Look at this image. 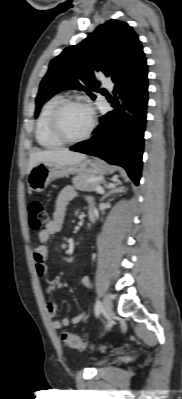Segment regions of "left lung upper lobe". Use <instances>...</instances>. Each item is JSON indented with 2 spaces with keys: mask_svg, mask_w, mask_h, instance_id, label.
Masks as SVG:
<instances>
[{
  "mask_svg": "<svg viewBox=\"0 0 182 399\" xmlns=\"http://www.w3.org/2000/svg\"><path fill=\"white\" fill-rule=\"evenodd\" d=\"M146 61L142 45L126 23L109 20L81 43L70 46L51 60L36 98L35 117L41 106L65 89L84 90L94 100L99 92L97 73L117 84Z\"/></svg>",
  "mask_w": 182,
  "mask_h": 399,
  "instance_id": "5c2ea615",
  "label": "left lung upper lobe"
}]
</instances>
